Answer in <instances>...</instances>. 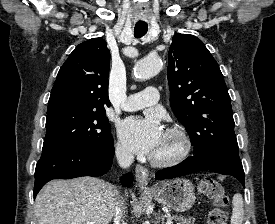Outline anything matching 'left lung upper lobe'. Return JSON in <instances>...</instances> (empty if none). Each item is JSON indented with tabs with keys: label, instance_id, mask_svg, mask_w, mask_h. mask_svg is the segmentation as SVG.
<instances>
[{
	"label": "left lung upper lobe",
	"instance_id": "5c2ea615",
	"mask_svg": "<svg viewBox=\"0 0 275 224\" xmlns=\"http://www.w3.org/2000/svg\"><path fill=\"white\" fill-rule=\"evenodd\" d=\"M170 104L197 157L239 156L231 99L219 66L203 42L176 34L168 52Z\"/></svg>",
	"mask_w": 275,
	"mask_h": 224
}]
</instances>
